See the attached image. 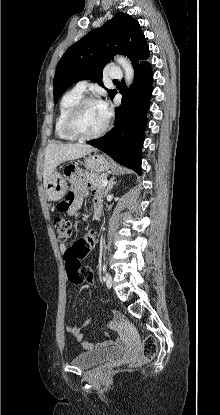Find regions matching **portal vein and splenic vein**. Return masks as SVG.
<instances>
[{
	"label": "portal vein and splenic vein",
	"mask_w": 220,
	"mask_h": 415,
	"mask_svg": "<svg viewBox=\"0 0 220 415\" xmlns=\"http://www.w3.org/2000/svg\"><path fill=\"white\" fill-rule=\"evenodd\" d=\"M107 184H108V180L107 179H105V180L102 181V186L103 187H105Z\"/></svg>",
	"instance_id": "portal-vein-and-splenic-vein-1"
}]
</instances>
